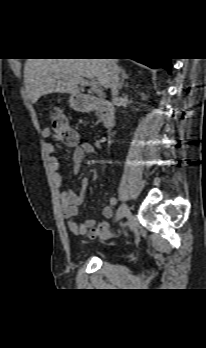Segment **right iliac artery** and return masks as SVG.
I'll return each instance as SVG.
<instances>
[{
	"label": "right iliac artery",
	"instance_id": "82829eb1",
	"mask_svg": "<svg viewBox=\"0 0 206 348\" xmlns=\"http://www.w3.org/2000/svg\"><path fill=\"white\" fill-rule=\"evenodd\" d=\"M109 201L111 202V204L116 203V199H115V197L113 195L109 196Z\"/></svg>",
	"mask_w": 206,
	"mask_h": 348
}]
</instances>
